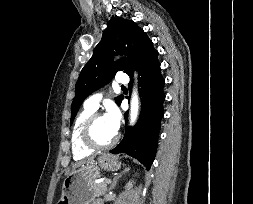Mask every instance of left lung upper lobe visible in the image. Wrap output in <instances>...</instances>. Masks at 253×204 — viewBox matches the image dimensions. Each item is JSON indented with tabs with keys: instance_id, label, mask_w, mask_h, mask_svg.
<instances>
[{
	"instance_id": "5c2ea615",
	"label": "left lung upper lobe",
	"mask_w": 253,
	"mask_h": 204,
	"mask_svg": "<svg viewBox=\"0 0 253 204\" xmlns=\"http://www.w3.org/2000/svg\"><path fill=\"white\" fill-rule=\"evenodd\" d=\"M152 46V41L146 33L132 20L120 17L110 20L100 43L95 47L92 57L79 75L72 102L70 124L87 96L108 83L118 71L132 76L134 68L140 69ZM119 53L132 57L133 62L129 59L112 62V57ZM122 99L123 96L120 95L115 98V102L120 105Z\"/></svg>"
}]
</instances>
